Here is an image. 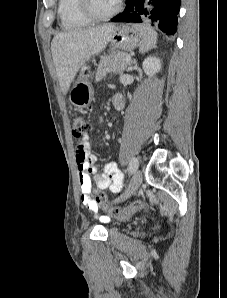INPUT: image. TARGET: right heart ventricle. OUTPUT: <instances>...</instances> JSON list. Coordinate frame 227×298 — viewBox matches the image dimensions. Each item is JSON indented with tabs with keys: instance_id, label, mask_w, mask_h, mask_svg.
<instances>
[{
	"instance_id": "obj_1",
	"label": "right heart ventricle",
	"mask_w": 227,
	"mask_h": 298,
	"mask_svg": "<svg viewBox=\"0 0 227 298\" xmlns=\"http://www.w3.org/2000/svg\"><path fill=\"white\" fill-rule=\"evenodd\" d=\"M58 15L65 29H76L91 24V21L82 13L79 0H59Z\"/></svg>"
}]
</instances>
